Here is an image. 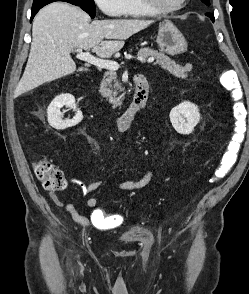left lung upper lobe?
Here are the masks:
<instances>
[{
  "label": "left lung upper lobe",
  "mask_w": 249,
  "mask_h": 294,
  "mask_svg": "<svg viewBox=\"0 0 249 294\" xmlns=\"http://www.w3.org/2000/svg\"><path fill=\"white\" fill-rule=\"evenodd\" d=\"M203 3H205L206 5H210V2H209V0H201Z\"/></svg>",
  "instance_id": "1"
}]
</instances>
